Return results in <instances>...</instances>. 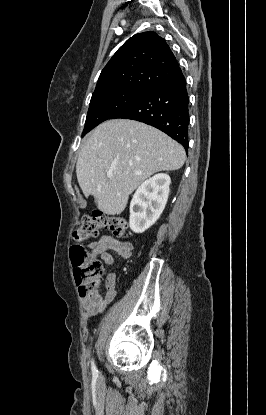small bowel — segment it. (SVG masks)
<instances>
[{"label":"small bowel","instance_id":"obj_1","mask_svg":"<svg viewBox=\"0 0 266 415\" xmlns=\"http://www.w3.org/2000/svg\"><path fill=\"white\" fill-rule=\"evenodd\" d=\"M92 254H99L106 265H114L115 258L110 251L116 253L122 260L130 258L133 245L130 242L120 241L110 235H103L98 241L89 244ZM116 276L110 273L106 278L107 292L104 297H99L93 293L80 292L83 308L89 316L101 313L115 299Z\"/></svg>","mask_w":266,"mask_h":415}]
</instances>
